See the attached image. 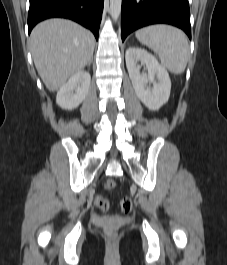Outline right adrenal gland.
Here are the masks:
<instances>
[{
    "label": "right adrenal gland",
    "instance_id": "2a0ac1e0",
    "mask_svg": "<svg viewBox=\"0 0 227 265\" xmlns=\"http://www.w3.org/2000/svg\"><path fill=\"white\" fill-rule=\"evenodd\" d=\"M91 63H92V58H91L90 62L88 63V66H90Z\"/></svg>",
    "mask_w": 227,
    "mask_h": 265
}]
</instances>
